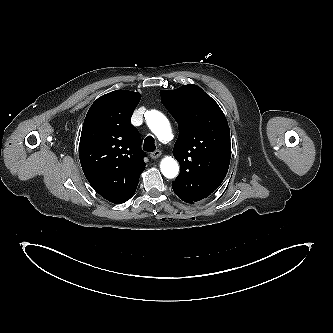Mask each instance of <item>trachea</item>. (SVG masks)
I'll list each match as a JSON object with an SVG mask.
<instances>
[{
  "instance_id": "trachea-1",
  "label": "trachea",
  "mask_w": 333,
  "mask_h": 333,
  "mask_svg": "<svg viewBox=\"0 0 333 333\" xmlns=\"http://www.w3.org/2000/svg\"><path fill=\"white\" fill-rule=\"evenodd\" d=\"M143 149L147 152H153L156 149L154 138L152 136L146 137Z\"/></svg>"
}]
</instances>
